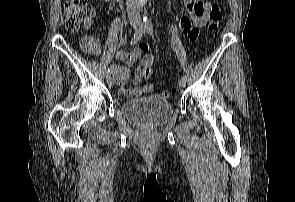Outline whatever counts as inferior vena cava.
I'll return each instance as SVG.
<instances>
[{
	"label": "inferior vena cava",
	"mask_w": 295,
	"mask_h": 202,
	"mask_svg": "<svg viewBox=\"0 0 295 202\" xmlns=\"http://www.w3.org/2000/svg\"><path fill=\"white\" fill-rule=\"evenodd\" d=\"M128 17L130 20L140 19V13L136 6L133 4V0H127Z\"/></svg>",
	"instance_id": "602c4592"
}]
</instances>
